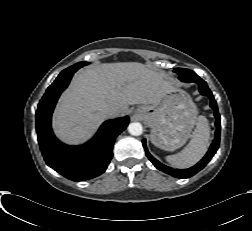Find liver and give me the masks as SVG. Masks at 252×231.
Masks as SVG:
<instances>
[{
	"instance_id": "6515ba94",
	"label": "liver",
	"mask_w": 252,
	"mask_h": 231,
	"mask_svg": "<svg viewBox=\"0 0 252 231\" xmlns=\"http://www.w3.org/2000/svg\"><path fill=\"white\" fill-rule=\"evenodd\" d=\"M175 90L162 71L137 62L104 63L79 71L61 96L54 113L53 127L63 141L77 144L89 139L108 116L129 105L157 103Z\"/></svg>"
}]
</instances>
